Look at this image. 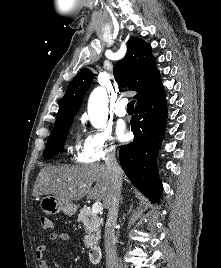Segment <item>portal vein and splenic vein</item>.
Here are the masks:
<instances>
[{
    "mask_svg": "<svg viewBox=\"0 0 221 268\" xmlns=\"http://www.w3.org/2000/svg\"><path fill=\"white\" fill-rule=\"evenodd\" d=\"M103 210V205L100 201H96L93 205H92V212L94 214H98Z\"/></svg>",
    "mask_w": 221,
    "mask_h": 268,
    "instance_id": "obj_1",
    "label": "portal vein and splenic vein"
}]
</instances>
